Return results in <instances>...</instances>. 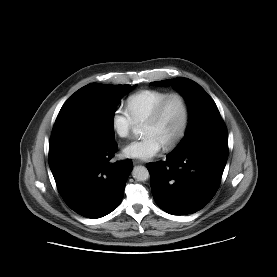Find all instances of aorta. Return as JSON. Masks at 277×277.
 I'll list each match as a JSON object with an SVG mask.
<instances>
[{"label": "aorta", "instance_id": "762f6f07", "mask_svg": "<svg viewBox=\"0 0 277 277\" xmlns=\"http://www.w3.org/2000/svg\"><path fill=\"white\" fill-rule=\"evenodd\" d=\"M133 132L136 134V130L134 129ZM132 176L137 181H146L149 178V171L144 166H135L132 171Z\"/></svg>", "mask_w": 277, "mask_h": 277}]
</instances>
